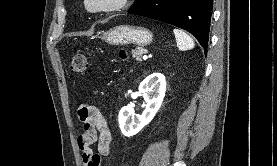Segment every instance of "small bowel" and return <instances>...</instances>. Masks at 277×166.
I'll return each instance as SVG.
<instances>
[{
    "label": "small bowel",
    "instance_id": "small-bowel-1",
    "mask_svg": "<svg viewBox=\"0 0 277 166\" xmlns=\"http://www.w3.org/2000/svg\"><path fill=\"white\" fill-rule=\"evenodd\" d=\"M79 120L83 123V130L78 137V147L84 166H100L102 158L109 155L112 135L98 108L86 105L78 110ZM97 145V152L92 149Z\"/></svg>",
    "mask_w": 277,
    "mask_h": 166
}]
</instances>
